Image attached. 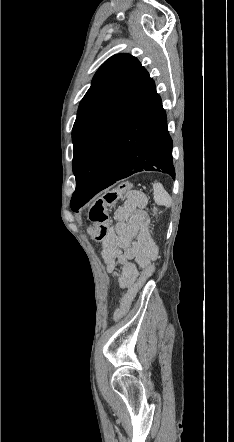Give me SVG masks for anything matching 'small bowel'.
Here are the masks:
<instances>
[{"instance_id": "1", "label": "small bowel", "mask_w": 234, "mask_h": 442, "mask_svg": "<svg viewBox=\"0 0 234 442\" xmlns=\"http://www.w3.org/2000/svg\"><path fill=\"white\" fill-rule=\"evenodd\" d=\"M147 198L139 192L129 193L123 205L118 206L107 235L101 242L100 254L107 271L117 277L122 289H129L140 269L147 268L156 256L155 247L145 239ZM136 237L141 240L134 242ZM121 267V272L116 267Z\"/></svg>"}]
</instances>
